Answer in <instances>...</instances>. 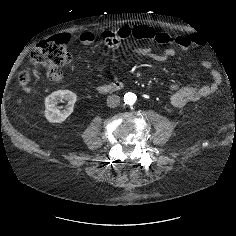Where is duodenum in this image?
Instances as JSON below:
<instances>
[{"label":"duodenum","mask_w":236,"mask_h":236,"mask_svg":"<svg viewBox=\"0 0 236 236\" xmlns=\"http://www.w3.org/2000/svg\"><path fill=\"white\" fill-rule=\"evenodd\" d=\"M122 87L123 84L120 81H114L111 83L100 84L97 89L100 93H113L120 90Z\"/></svg>","instance_id":"1"}]
</instances>
